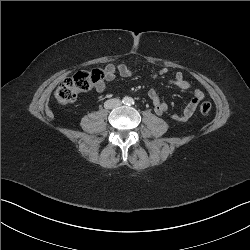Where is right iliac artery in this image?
<instances>
[{
    "mask_svg": "<svg viewBox=\"0 0 250 250\" xmlns=\"http://www.w3.org/2000/svg\"><path fill=\"white\" fill-rule=\"evenodd\" d=\"M127 101H128L127 98L123 99V103H127Z\"/></svg>",
    "mask_w": 250,
    "mask_h": 250,
    "instance_id": "1",
    "label": "right iliac artery"
}]
</instances>
